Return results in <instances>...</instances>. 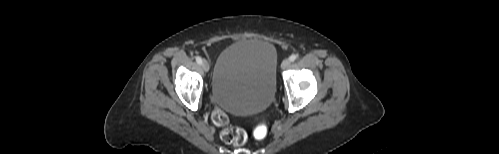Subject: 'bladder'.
<instances>
[{
	"instance_id": "1",
	"label": "bladder",
	"mask_w": 499,
	"mask_h": 154,
	"mask_svg": "<svg viewBox=\"0 0 499 154\" xmlns=\"http://www.w3.org/2000/svg\"><path fill=\"white\" fill-rule=\"evenodd\" d=\"M276 66V49L268 41L248 39L229 45L220 53L214 69V102L237 115L266 110L275 96Z\"/></svg>"
}]
</instances>
